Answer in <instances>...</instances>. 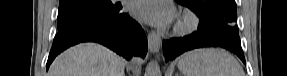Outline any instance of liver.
Wrapping results in <instances>:
<instances>
[{
	"label": "liver",
	"mask_w": 287,
	"mask_h": 76,
	"mask_svg": "<svg viewBox=\"0 0 287 76\" xmlns=\"http://www.w3.org/2000/svg\"><path fill=\"white\" fill-rule=\"evenodd\" d=\"M125 61L97 43H81L61 53L48 76H123Z\"/></svg>",
	"instance_id": "liver-1"
}]
</instances>
